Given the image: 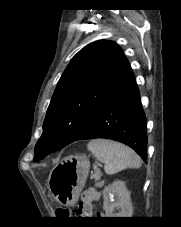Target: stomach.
<instances>
[{"mask_svg": "<svg viewBox=\"0 0 181 227\" xmlns=\"http://www.w3.org/2000/svg\"><path fill=\"white\" fill-rule=\"evenodd\" d=\"M90 162L84 155L68 156L62 159L50 172L48 188L61 205H73L85 183Z\"/></svg>", "mask_w": 181, "mask_h": 227, "instance_id": "obj_1", "label": "stomach"}]
</instances>
